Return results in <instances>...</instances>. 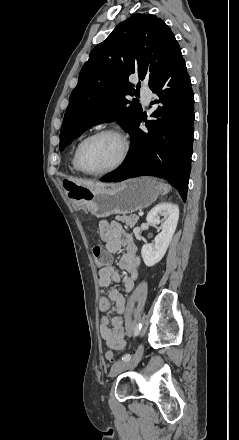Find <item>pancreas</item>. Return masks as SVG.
Segmentation results:
<instances>
[{
	"mask_svg": "<svg viewBox=\"0 0 239 440\" xmlns=\"http://www.w3.org/2000/svg\"><path fill=\"white\" fill-rule=\"evenodd\" d=\"M116 220H118V222H124L129 228H134L139 220V216H134V214L133 216H116Z\"/></svg>",
	"mask_w": 239,
	"mask_h": 440,
	"instance_id": "pancreas-1",
	"label": "pancreas"
}]
</instances>
